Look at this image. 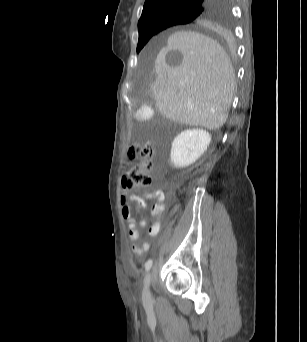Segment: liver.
Wrapping results in <instances>:
<instances>
[{
	"mask_svg": "<svg viewBox=\"0 0 307 342\" xmlns=\"http://www.w3.org/2000/svg\"><path fill=\"white\" fill-rule=\"evenodd\" d=\"M151 74H157L156 108L162 116L207 130L225 124L236 82L220 44L198 32H175L160 45Z\"/></svg>",
	"mask_w": 307,
	"mask_h": 342,
	"instance_id": "1",
	"label": "liver"
}]
</instances>
